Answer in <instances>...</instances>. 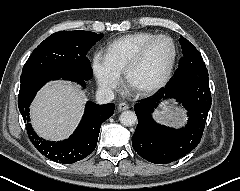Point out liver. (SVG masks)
I'll return each instance as SVG.
<instances>
[{
  "mask_svg": "<svg viewBox=\"0 0 240 191\" xmlns=\"http://www.w3.org/2000/svg\"><path fill=\"white\" fill-rule=\"evenodd\" d=\"M85 102L83 92L72 83H48L38 92L30 107L34 130L52 141L67 138L79 124Z\"/></svg>",
  "mask_w": 240,
  "mask_h": 191,
  "instance_id": "1",
  "label": "liver"
}]
</instances>
